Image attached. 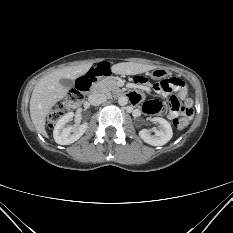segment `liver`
<instances>
[{"label": "liver", "mask_w": 233, "mask_h": 233, "mask_svg": "<svg viewBox=\"0 0 233 233\" xmlns=\"http://www.w3.org/2000/svg\"><path fill=\"white\" fill-rule=\"evenodd\" d=\"M91 67V63L66 67L55 70L38 81L33 89L29 107L32 123L43 136L48 137L45 130V118L47 114L68 92V89L60 84V80L62 78L75 80L86 74ZM152 69L154 67L151 65L132 62L118 63L111 67L112 73L125 75H136Z\"/></svg>", "instance_id": "liver-1"}]
</instances>
